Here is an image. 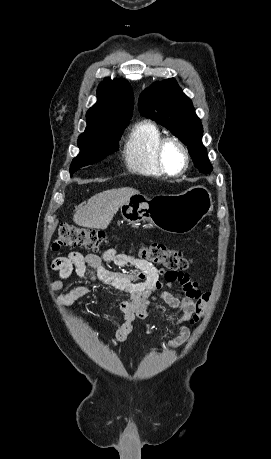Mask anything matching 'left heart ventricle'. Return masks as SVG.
Here are the masks:
<instances>
[{"mask_svg":"<svg viewBox=\"0 0 271 459\" xmlns=\"http://www.w3.org/2000/svg\"><path fill=\"white\" fill-rule=\"evenodd\" d=\"M164 158L168 168L173 172H179L186 165L185 154L180 145L174 141H170L164 148Z\"/></svg>","mask_w":271,"mask_h":459,"instance_id":"1","label":"left heart ventricle"}]
</instances>
